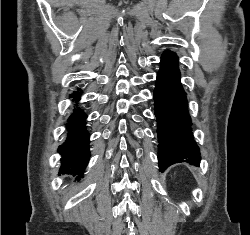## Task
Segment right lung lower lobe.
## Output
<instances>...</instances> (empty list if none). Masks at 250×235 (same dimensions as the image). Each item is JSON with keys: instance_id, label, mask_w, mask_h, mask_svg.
<instances>
[{"instance_id": "right-lung-lower-lobe-1", "label": "right lung lower lobe", "mask_w": 250, "mask_h": 235, "mask_svg": "<svg viewBox=\"0 0 250 235\" xmlns=\"http://www.w3.org/2000/svg\"><path fill=\"white\" fill-rule=\"evenodd\" d=\"M80 92H74L70 97L76 101L80 99ZM87 115L82 110L75 109L68 121V138L59 146L58 151L62 154L60 172L62 174H79L82 176L87 166L89 152V134L86 130Z\"/></svg>"}]
</instances>
